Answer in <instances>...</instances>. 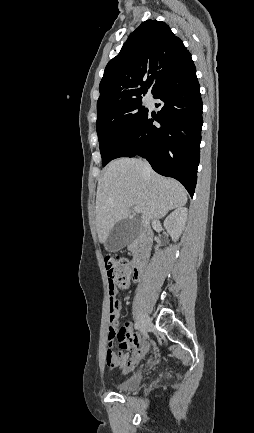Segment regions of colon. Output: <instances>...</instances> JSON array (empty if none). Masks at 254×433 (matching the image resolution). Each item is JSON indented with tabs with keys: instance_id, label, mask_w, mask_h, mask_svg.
Here are the masks:
<instances>
[{
	"instance_id": "obj_1",
	"label": "colon",
	"mask_w": 254,
	"mask_h": 433,
	"mask_svg": "<svg viewBox=\"0 0 254 433\" xmlns=\"http://www.w3.org/2000/svg\"><path fill=\"white\" fill-rule=\"evenodd\" d=\"M104 263L109 281L110 303L111 308L113 309L110 316L112 321H115L118 317V314L116 312V306L118 301L112 297V291L115 289V287L126 288L129 286L132 267L127 259L118 256H108L105 258ZM117 332L118 327L115 324L112 326L113 336H115Z\"/></svg>"
}]
</instances>
